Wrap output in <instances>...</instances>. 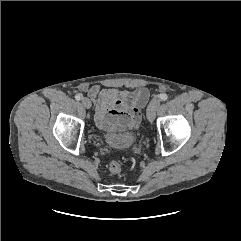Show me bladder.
<instances>
[{"label":"bladder","mask_w":241,"mask_h":241,"mask_svg":"<svg viewBox=\"0 0 241 241\" xmlns=\"http://www.w3.org/2000/svg\"><path fill=\"white\" fill-rule=\"evenodd\" d=\"M136 141V136L133 134L111 136L107 138V143L118 149H126L131 147Z\"/></svg>","instance_id":"bladder-1"}]
</instances>
